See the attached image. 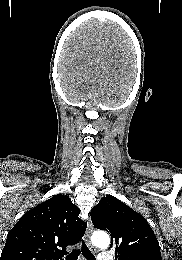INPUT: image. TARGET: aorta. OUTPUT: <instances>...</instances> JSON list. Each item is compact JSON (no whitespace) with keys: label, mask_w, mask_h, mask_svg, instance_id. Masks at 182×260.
<instances>
[{"label":"aorta","mask_w":182,"mask_h":260,"mask_svg":"<svg viewBox=\"0 0 182 260\" xmlns=\"http://www.w3.org/2000/svg\"><path fill=\"white\" fill-rule=\"evenodd\" d=\"M92 243L99 248L105 249L110 244L109 235L106 232H96L91 238Z\"/></svg>","instance_id":"aorta-1"}]
</instances>
